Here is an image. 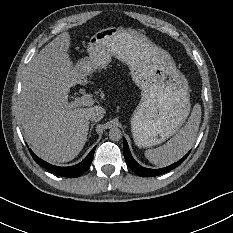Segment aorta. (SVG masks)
I'll return each instance as SVG.
<instances>
[{
	"label": "aorta",
	"mask_w": 233,
	"mask_h": 233,
	"mask_svg": "<svg viewBox=\"0 0 233 233\" xmlns=\"http://www.w3.org/2000/svg\"><path fill=\"white\" fill-rule=\"evenodd\" d=\"M109 137L114 141H118L122 138V131L118 127H113L109 130Z\"/></svg>",
	"instance_id": "aorta-1"
}]
</instances>
